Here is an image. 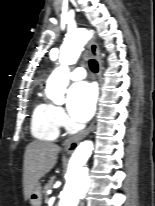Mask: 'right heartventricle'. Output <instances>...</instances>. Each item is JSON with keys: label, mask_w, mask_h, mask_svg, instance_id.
<instances>
[{"label": "right heart ventricle", "mask_w": 155, "mask_h": 206, "mask_svg": "<svg viewBox=\"0 0 155 206\" xmlns=\"http://www.w3.org/2000/svg\"><path fill=\"white\" fill-rule=\"evenodd\" d=\"M31 131L35 138L53 141L59 136V126L53 115V105L40 101L33 110Z\"/></svg>", "instance_id": "obj_1"}]
</instances>
